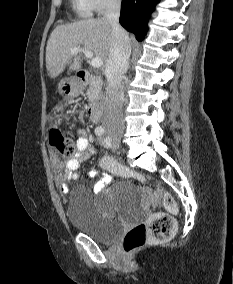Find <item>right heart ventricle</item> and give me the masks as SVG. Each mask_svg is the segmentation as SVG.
I'll return each mask as SVG.
<instances>
[{"label":"right heart ventricle","instance_id":"1","mask_svg":"<svg viewBox=\"0 0 233 284\" xmlns=\"http://www.w3.org/2000/svg\"><path fill=\"white\" fill-rule=\"evenodd\" d=\"M75 7L77 11L83 16L91 15V8L87 2V0H75Z\"/></svg>","mask_w":233,"mask_h":284}]
</instances>
